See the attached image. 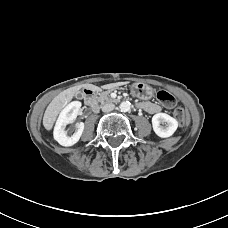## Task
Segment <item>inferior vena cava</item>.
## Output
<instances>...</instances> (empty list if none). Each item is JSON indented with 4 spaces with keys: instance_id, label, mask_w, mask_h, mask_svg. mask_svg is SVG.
<instances>
[{
    "instance_id": "inferior-vena-cava-1",
    "label": "inferior vena cava",
    "mask_w": 228,
    "mask_h": 228,
    "mask_svg": "<svg viewBox=\"0 0 228 228\" xmlns=\"http://www.w3.org/2000/svg\"><path fill=\"white\" fill-rule=\"evenodd\" d=\"M115 109V105L112 103H106L102 106V111L103 112H110Z\"/></svg>"
}]
</instances>
